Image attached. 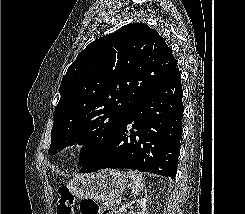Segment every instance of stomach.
Masks as SVG:
<instances>
[{"mask_svg": "<svg viewBox=\"0 0 245 214\" xmlns=\"http://www.w3.org/2000/svg\"><path fill=\"white\" fill-rule=\"evenodd\" d=\"M129 186L125 172L103 169L96 173L82 174L71 179L69 189L78 199H93L109 203Z\"/></svg>", "mask_w": 245, "mask_h": 214, "instance_id": "obj_1", "label": "stomach"}]
</instances>
